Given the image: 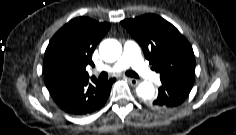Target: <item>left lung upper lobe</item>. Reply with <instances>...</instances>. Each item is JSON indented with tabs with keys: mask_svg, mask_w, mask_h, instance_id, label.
I'll return each mask as SVG.
<instances>
[{
	"mask_svg": "<svg viewBox=\"0 0 236 135\" xmlns=\"http://www.w3.org/2000/svg\"><path fill=\"white\" fill-rule=\"evenodd\" d=\"M121 24L142 47L160 78L194 76L195 56L188 40L168 21L154 14L125 19Z\"/></svg>",
	"mask_w": 236,
	"mask_h": 135,
	"instance_id": "5c2ea615",
	"label": "left lung upper lobe"
}]
</instances>
